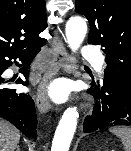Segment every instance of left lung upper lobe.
I'll return each instance as SVG.
<instances>
[{"label":"left lung upper lobe","instance_id":"5c2ea615","mask_svg":"<svg viewBox=\"0 0 131 151\" xmlns=\"http://www.w3.org/2000/svg\"><path fill=\"white\" fill-rule=\"evenodd\" d=\"M89 21L88 43L106 54L104 79L131 84V0H76Z\"/></svg>","mask_w":131,"mask_h":151}]
</instances>
